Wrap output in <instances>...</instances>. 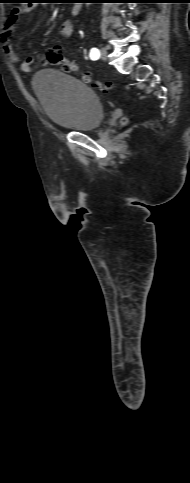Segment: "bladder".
Returning a JSON list of instances; mask_svg holds the SVG:
<instances>
[{"label":"bladder","instance_id":"31cf9c89","mask_svg":"<svg viewBox=\"0 0 190 483\" xmlns=\"http://www.w3.org/2000/svg\"><path fill=\"white\" fill-rule=\"evenodd\" d=\"M32 88L49 120L64 130L92 131L103 122L99 96L76 78L46 69L34 76Z\"/></svg>","mask_w":190,"mask_h":483}]
</instances>
